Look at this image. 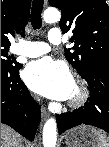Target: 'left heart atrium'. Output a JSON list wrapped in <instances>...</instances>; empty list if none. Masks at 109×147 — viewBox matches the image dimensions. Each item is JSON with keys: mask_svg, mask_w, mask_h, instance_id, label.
Instances as JSON below:
<instances>
[{"mask_svg": "<svg viewBox=\"0 0 109 147\" xmlns=\"http://www.w3.org/2000/svg\"><path fill=\"white\" fill-rule=\"evenodd\" d=\"M23 76L29 88L42 96L60 101L70 98L73 76L62 61L49 57L32 61L25 68Z\"/></svg>", "mask_w": 109, "mask_h": 147, "instance_id": "left-heart-atrium-1", "label": "left heart atrium"}]
</instances>
